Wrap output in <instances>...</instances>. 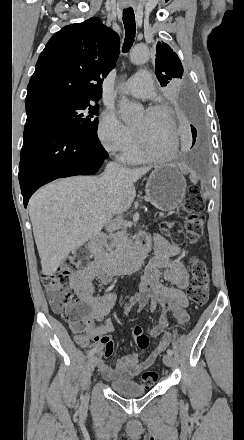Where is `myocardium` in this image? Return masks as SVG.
Returning <instances> with one entry per match:
<instances>
[{
	"instance_id": "1",
	"label": "myocardium",
	"mask_w": 244,
	"mask_h": 440,
	"mask_svg": "<svg viewBox=\"0 0 244 440\" xmlns=\"http://www.w3.org/2000/svg\"><path fill=\"white\" fill-rule=\"evenodd\" d=\"M148 110H158V111H162V112H168V115H170V124L167 127V129L165 130V133L167 134V146L164 147L162 145V143H159V145L156 146H149L146 145V142H144L143 136L144 134L138 129L136 128V131L138 133V135L141 138H137V143H140V147H159L164 154L157 156L155 158H152V160L156 163L162 164V165H167L169 162H171L174 158V147H175V131H174V125L172 123L175 122V119L173 118V110H170V108L167 105L164 104H156V105H152L150 107H148L146 109V111Z\"/></svg>"
}]
</instances>
